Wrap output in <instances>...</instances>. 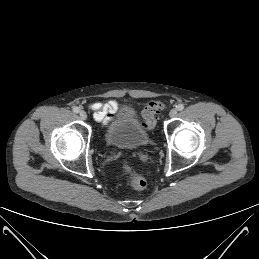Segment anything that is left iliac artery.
Listing matches in <instances>:
<instances>
[{
    "label": "left iliac artery",
    "mask_w": 259,
    "mask_h": 259,
    "mask_svg": "<svg viewBox=\"0 0 259 259\" xmlns=\"http://www.w3.org/2000/svg\"><path fill=\"white\" fill-rule=\"evenodd\" d=\"M176 107H177V109L179 111H182L184 109V105L183 104H178Z\"/></svg>",
    "instance_id": "left-iliac-artery-1"
}]
</instances>
